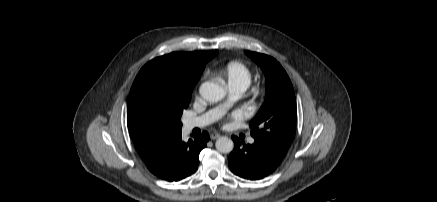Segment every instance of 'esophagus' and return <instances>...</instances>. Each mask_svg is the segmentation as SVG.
I'll return each instance as SVG.
<instances>
[{
  "instance_id": "esophagus-1",
  "label": "esophagus",
  "mask_w": 437,
  "mask_h": 202,
  "mask_svg": "<svg viewBox=\"0 0 437 202\" xmlns=\"http://www.w3.org/2000/svg\"><path fill=\"white\" fill-rule=\"evenodd\" d=\"M210 138H211L212 140L218 139V138H220V134H218V133H216V132L211 133V134H210Z\"/></svg>"
}]
</instances>
